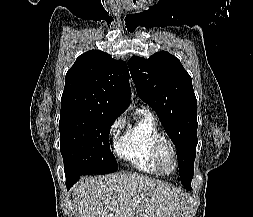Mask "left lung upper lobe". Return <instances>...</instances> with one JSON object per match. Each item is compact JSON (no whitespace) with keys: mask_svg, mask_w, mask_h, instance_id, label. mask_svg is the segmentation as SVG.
<instances>
[{"mask_svg":"<svg viewBox=\"0 0 253 217\" xmlns=\"http://www.w3.org/2000/svg\"><path fill=\"white\" fill-rule=\"evenodd\" d=\"M138 96L157 113L177 151L182 185L191 189L197 146V100L180 60L166 51L128 61Z\"/></svg>","mask_w":253,"mask_h":217,"instance_id":"obj_1","label":"left lung upper lobe"}]
</instances>
